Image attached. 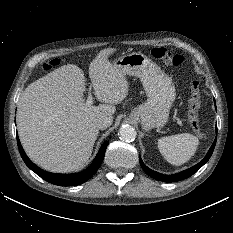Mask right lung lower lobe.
Returning a JSON list of instances; mask_svg holds the SVG:
<instances>
[{
    "label": "right lung lower lobe",
    "instance_id": "1",
    "mask_svg": "<svg viewBox=\"0 0 233 233\" xmlns=\"http://www.w3.org/2000/svg\"><path fill=\"white\" fill-rule=\"evenodd\" d=\"M108 143L109 141H105L103 143L98 154L93 160L92 164L86 170L80 173H74V174H55V173L45 172L41 170L39 167H37L34 163H32L31 160L25 154L20 144L19 138L17 137V144H18L19 152L25 164L31 170H33L37 175H39L42 179L46 180L49 183L59 185V186L79 185V184L86 182L88 179H90L100 167L104 159V155H105V151L108 146Z\"/></svg>",
    "mask_w": 233,
    "mask_h": 233
}]
</instances>
